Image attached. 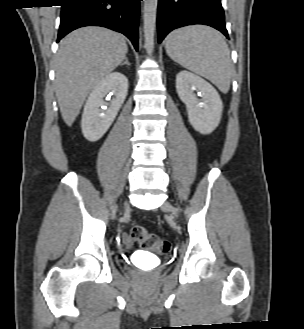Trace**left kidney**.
Segmentation results:
<instances>
[{
	"label": "left kidney",
	"instance_id": "obj_1",
	"mask_svg": "<svg viewBox=\"0 0 304 329\" xmlns=\"http://www.w3.org/2000/svg\"><path fill=\"white\" fill-rule=\"evenodd\" d=\"M176 90L186 105L192 127L201 134L212 133L220 123L223 110L216 89L203 78L188 71H180L176 76ZM193 91H198L201 99Z\"/></svg>",
	"mask_w": 304,
	"mask_h": 329
}]
</instances>
